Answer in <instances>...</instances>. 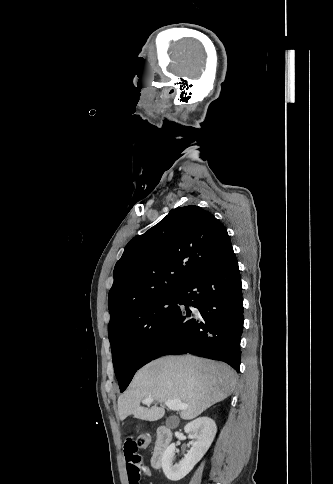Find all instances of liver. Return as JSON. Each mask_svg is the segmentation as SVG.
<instances>
[{
  "mask_svg": "<svg viewBox=\"0 0 333 484\" xmlns=\"http://www.w3.org/2000/svg\"><path fill=\"white\" fill-rule=\"evenodd\" d=\"M235 385L236 373L224 363L191 355L159 358L141 368L119 396V418L123 421L133 414L141 420L156 421L165 414L163 402L180 399L188 405L180 417L191 420L229 397ZM147 397L156 402L151 408L140 406Z\"/></svg>",
  "mask_w": 333,
  "mask_h": 484,
  "instance_id": "liver-1",
  "label": "liver"
}]
</instances>
